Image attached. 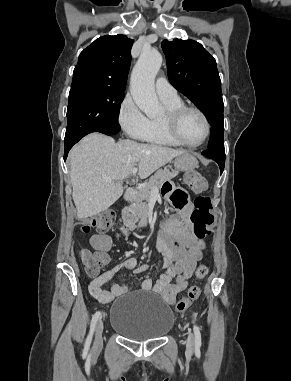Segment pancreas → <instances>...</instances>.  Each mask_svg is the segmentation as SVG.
I'll return each instance as SVG.
<instances>
[{
	"label": "pancreas",
	"mask_w": 291,
	"mask_h": 381,
	"mask_svg": "<svg viewBox=\"0 0 291 381\" xmlns=\"http://www.w3.org/2000/svg\"><path fill=\"white\" fill-rule=\"evenodd\" d=\"M178 174L177 171H170L169 169H159L150 179L149 182L139 189L138 197L135 202L127 207L122 212V219L126 227L130 230L143 226L148 218V205L147 202L153 192V188H160L165 181H169Z\"/></svg>",
	"instance_id": "cf45deb5"
}]
</instances>
